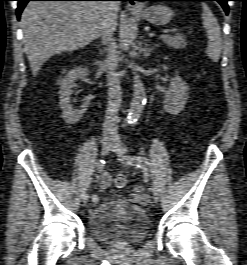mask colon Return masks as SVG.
Here are the masks:
<instances>
[{
    "mask_svg": "<svg viewBox=\"0 0 247 265\" xmlns=\"http://www.w3.org/2000/svg\"><path fill=\"white\" fill-rule=\"evenodd\" d=\"M114 183L119 188L125 187L127 184V178L123 174H117L114 178Z\"/></svg>",
    "mask_w": 247,
    "mask_h": 265,
    "instance_id": "5ec220e1",
    "label": "colon"
}]
</instances>
